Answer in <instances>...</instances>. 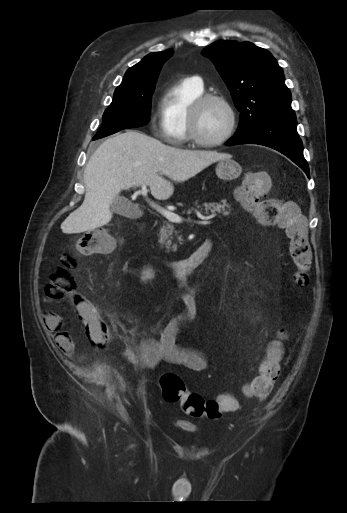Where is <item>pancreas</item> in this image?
I'll list each match as a JSON object with an SVG mask.
<instances>
[{
	"instance_id": "cf45deb5",
	"label": "pancreas",
	"mask_w": 347,
	"mask_h": 513,
	"mask_svg": "<svg viewBox=\"0 0 347 513\" xmlns=\"http://www.w3.org/2000/svg\"><path fill=\"white\" fill-rule=\"evenodd\" d=\"M204 207H205L206 214H208L209 211L213 215H216V213H219L225 217L230 214V206L225 201H223L222 203H215V202L205 203ZM202 210L203 209L202 208L199 209V206H198V209L191 208L190 210H188V213H191L192 211L202 212ZM178 233L179 232L175 230L173 224H171L169 222H164L163 226L160 228V233H159L160 234V243L162 245H165L169 249L170 246L172 245L171 239H173V237H172L173 234L177 235ZM178 238L181 239V236ZM172 248L175 251L176 245L174 244L172 246Z\"/></svg>"
}]
</instances>
